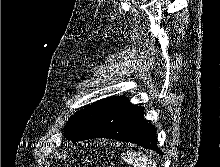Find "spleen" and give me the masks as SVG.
Returning a JSON list of instances; mask_svg holds the SVG:
<instances>
[{
    "mask_svg": "<svg viewBox=\"0 0 220 167\" xmlns=\"http://www.w3.org/2000/svg\"><path fill=\"white\" fill-rule=\"evenodd\" d=\"M122 159L133 167H156V162L141 152H124L122 154Z\"/></svg>",
    "mask_w": 220,
    "mask_h": 167,
    "instance_id": "spleen-1",
    "label": "spleen"
}]
</instances>
